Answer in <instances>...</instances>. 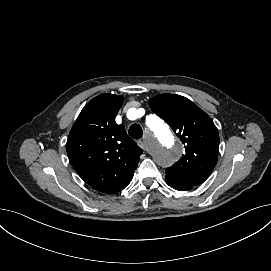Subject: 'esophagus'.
<instances>
[{
    "mask_svg": "<svg viewBox=\"0 0 271 271\" xmlns=\"http://www.w3.org/2000/svg\"><path fill=\"white\" fill-rule=\"evenodd\" d=\"M138 147L143 152L151 153V149L153 147V142L150 138L147 137V133L145 132L144 137L141 138L138 142Z\"/></svg>",
    "mask_w": 271,
    "mask_h": 271,
    "instance_id": "esophagus-1",
    "label": "esophagus"
}]
</instances>
